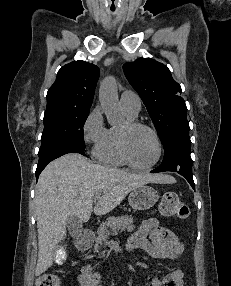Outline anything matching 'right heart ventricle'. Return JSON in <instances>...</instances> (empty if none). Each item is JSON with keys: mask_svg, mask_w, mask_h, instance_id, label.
I'll return each instance as SVG.
<instances>
[{"mask_svg": "<svg viewBox=\"0 0 231 286\" xmlns=\"http://www.w3.org/2000/svg\"><path fill=\"white\" fill-rule=\"evenodd\" d=\"M125 111V110H124ZM128 120H135L137 115H133L125 111ZM118 131L117 128L107 129L106 136L99 147L94 151V157L102 164L109 166H125L126 162L122 158L118 146Z\"/></svg>", "mask_w": 231, "mask_h": 286, "instance_id": "obj_1", "label": "right heart ventricle"}]
</instances>
